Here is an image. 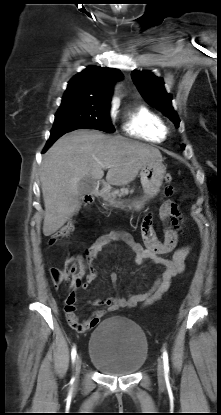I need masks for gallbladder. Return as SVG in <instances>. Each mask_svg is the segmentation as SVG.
Here are the masks:
<instances>
[{
	"label": "gallbladder",
	"mask_w": 221,
	"mask_h": 415,
	"mask_svg": "<svg viewBox=\"0 0 221 415\" xmlns=\"http://www.w3.org/2000/svg\"><path fill=\"white\" fill-rule=\"evenodd\" d=\"M96 186V180L92 177L86 176L80 179L78 182V190L80 194H88L94 190Z\"/></svg>",
	"instance_id": "bac80fb5"
}]
</instances>
